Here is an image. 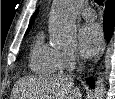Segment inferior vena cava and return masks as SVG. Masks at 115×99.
I'll use <instances>...</instances> for the list:
<instances>
[{
	"label": "inferior vena cava",
	"mask_w": 115,
	"mask_h": 99,
	"mask_svg": "<svg viewBox=\"0 0 115 99\" xmlns=\"http://www.w3.org/2000/svg\"><path fill=\"white\" fill-rule=\"evenodd\" d=\"M83 69V67H82V65H80V69H79V71H81Z\"/></svg>",
	"instance_id": "inferior-vena-cava-1"
}]
</instances>
